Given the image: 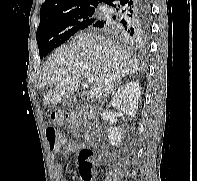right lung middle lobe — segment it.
I'll return each instance as SVG.
<instances>
[{"label":"right lung middle lobe","instance_id":"dd1d6c3e","mask_svg":"<svg viewBox=\"0 0 197 181\" xmlns=\"http://www.w3.org/2000/svg\"><path fill=\"white\" fill-rule=\"evenodd\" d=\"M97 5L80 7L63 14L40 20L36 40L40 57L44 58L54 48L65 43L77 31L92 26L99 20Z\"/></svg>","mask_w":197,"mask_h":181}]
</instances>
